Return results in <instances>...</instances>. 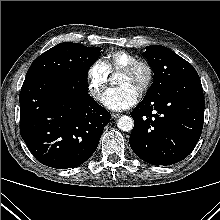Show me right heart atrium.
<instances>
[{"mask_svg": "<svg viewBox=\"0 0 220 220\" xmlns=\"http://www.w3.org/2000/svg\"><path fill=\"white\" fill-rule=\"evenodd\" d=\"M110 70L102 59L93 61L87 69V82L90 94L99 100L108 84Z\"/></svg>", "mask_w": 220, "mask_h": 220, "instance_id": "1", "label": "right heart atrium"}]
</instances>
